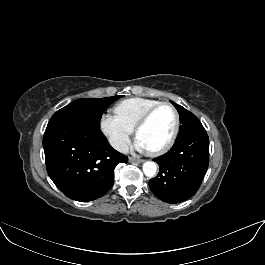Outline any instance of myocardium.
Here are the masks:
<instances>
[{
    "label": "myocardium",
    "instance_id": "myocardium-1",
    "mask_svg": "<svg viewBox=\"0 0 265 265\" xmlns=\"http://www.w3.org/2000/svg\"><path fill=\"white\" fill-rule=\"evenodd\" d=\"M164 107L170 108L174 114V119H175L174 128H173V131H172L170 137L168 138V140L163 145H161L158 148L148 150V152L152 155H158V154L164 153L174 144V142L178 136L179 130H180V115H179L178 110L175 108V106H173L172 104H170L168 102H161V103L151 107L149 110H147L141 116V118L138 120V122L136 123V125L134 127V132H135V135L137 136L140 129L142 127H144L149 122L151 117L159 109L164 108Z\"/></svg>",
    "mask_w": 265,
    "mask_h": 265
}]
</instances>
